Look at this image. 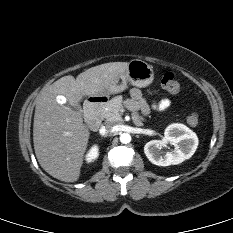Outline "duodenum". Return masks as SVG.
<instances>
[{
	"label": "duodenum",
	"mask_w": 233,
	"mask_h": 233,
	"mask_svg": "<svg viewBox=\"0 0 233 233\" xmlns=\"http://www.w3.org/2000/svg\"><path fill=\"white\" fill-rule=\"evenodd\" d=\"M104 98L91 99L85 106V122L94 129L100 125V113L105 105Z\"/></svg>",
	"instance_id": "1"
}]
</instances>
